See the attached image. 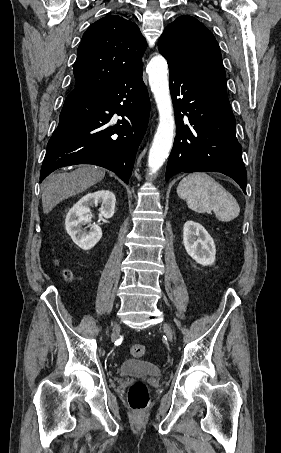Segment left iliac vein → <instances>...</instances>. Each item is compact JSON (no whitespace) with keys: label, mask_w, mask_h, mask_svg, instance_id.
Wrapping results in <instances>:
<instances>
[{"label":"left iliac vein","mask_w":281,"mask_h":453,"mask_svg":"<svg viewBox=\"0 0 281 453\" xmlns=\"http://www.w3.org/2000/svg\"><path fill=\"white\" fill-rule=\"evenodd\" d=\"M165 329H166V331L168 332V334H169L170 336L173 334L168 326H167Z\"/></svg>","instance_id":"4c4485c4"}]
</instances>
